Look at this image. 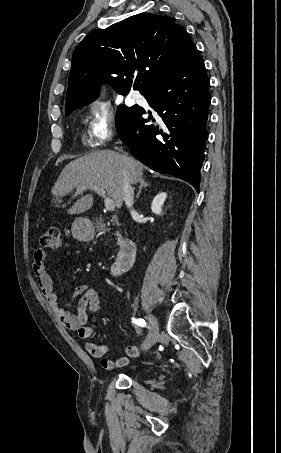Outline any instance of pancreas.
Returning a JSON list of instances; mask_svg holds the SVG:
<instances>
[{
	"label": "pancreas",
	"mask_w": 281,
	"mask_h": 453,
	"mask_svg": "<svg viewBox=\"0 0 281 453\" xmlns=\"http://www.w3.org/2000/svg\"><path fill=\"white\" fill-rule=\"evenodd\" d=\"M118 224V222H117ZM103 224H101V227H97L98 231H102Z\"/></svg>",
	"instance_id": "obj_1"
}]
</instances>
